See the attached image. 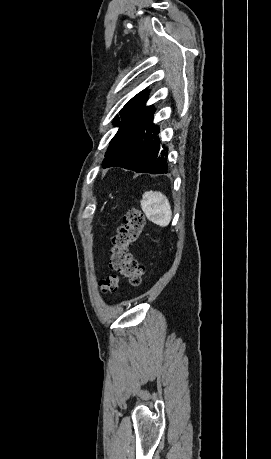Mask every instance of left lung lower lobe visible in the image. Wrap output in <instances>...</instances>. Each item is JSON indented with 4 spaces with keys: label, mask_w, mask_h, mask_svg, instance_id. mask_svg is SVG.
<instances>
[{
    "label": "left lung lower lobe",
    "mask_w": 271,
    "mask_h": 459,
    "mask_svg": "<svg viewBox=\"0 0 271 459\" xmlns=\"http://www.w3.org/2000/svg\"><path fill=\"white\" fill-rule=\"evenodd\" d=\"M154 108L142 117L121 121L112 138L104 168L119 166L136 172L167 173L168 149L162 144L158 126L152 123Z\"/></svg>",
    "instance_id": "obj_1"
}]
</instances>
